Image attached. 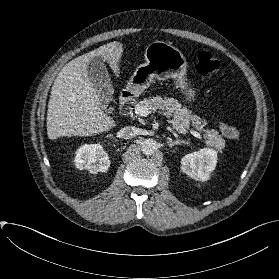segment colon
<instances>
[{
    "instance_id": "5ec220e1",
    "label": "colon",
    "mask_w": 279,
    "mask_h": 279,
    "mask_svg": "<svg viewBox=\"0 0 279 279\" xmlns=\"http://www.w3.org/2000/svg\"><path fill=\"white\" fill-rule=\"evenodd\" d=\"M219 61L210 53L202 51L197 55L196 71L200 75H208L219 69ZM220 130L222 134L229 138L236 140L239 138L240 133L237 128L226 123H220Z\"/></svg>"
}]
</instances>
